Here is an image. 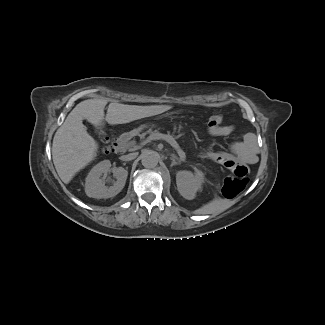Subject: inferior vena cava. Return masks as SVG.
I'll use <instances>...</instances> for the list:
<instances>
[{
    "instance_id": "602c4592",
    "label": "inferior vena cava",
    "mask_w": 325,
    "mask_h": 325,
    "mask_svg": "<svg viewBox=\"0 0 325 325\" xmlns=\"http://www.w3.org/2000/svg\"><path fill=\"white\" fill-rule=\"evenodd\" d=\"M136 156H137L136 153H130V154L121 156V160H123V161H131V160L135 159Z\"/></svg>"
}]
</instances>
